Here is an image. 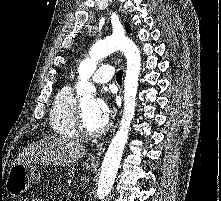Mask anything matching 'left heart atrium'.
Here are the masks:
<instances>
[{
  "instance_id": "left-heart-atrium-1",
  "label": "left heart atrium",
  "mask_w": 221,
  "mask_h": 201,
  "mask_svg": "<svg viewBox=\"0 0 221 201\" xmlns=\"http://www.w3.org/2000/svg\"><path fill=\"white\" fill-rule=\"evenodd\" d=\"M95 111L105 123L108 122L112 113L110 104L105 98H98L95 100Z\"/></svg>"
}]
</instances>
